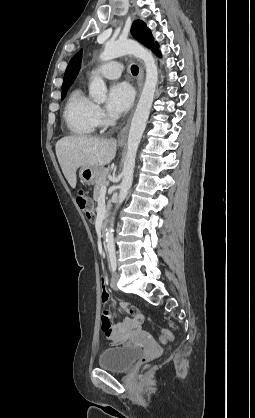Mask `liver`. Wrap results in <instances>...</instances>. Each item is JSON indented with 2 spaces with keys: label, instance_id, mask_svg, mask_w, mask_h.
Wrapping results in <instances>:
<instances>
[{
  "label": "liver",
  "instance_id": "1",
  "mask_svg": "<svg viewBox=\"0 0 255 418\" xmlns=\"http://www.w3.org/2000/svg\"><path fill=\"white\" fill-rule=\"evenodd\" d=\"M56 155L62 172L72 188L76 187L79 167H100L116 155L117 141L87 136H67L56 143Z\"/></svg>",
  "mask_w": 255,
  "mask_h": 418
}]
</instances>
